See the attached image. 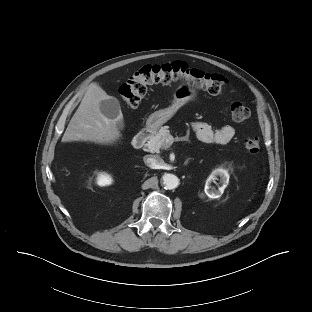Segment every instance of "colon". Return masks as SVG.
Instances as JSON below:
<instances>
[{"label": "colon", "instance_id": "5ec220e1", "mask_svg": "<svg viewBox=\"0 0 312 312\" xmlns=\"http://www.w3.org/2000/svg\"><path fill=\"white\" fill-rule=\"evenodd\" d=\"M178 81L189 82L212 95L220 94L226 84L225 77L220 74L207 73L192 68L184 62L175 61L141 67L120 86L119 94L128 108L135 109L141 103L150 85L171 84ZM230 114L233 121L243 122L249 118L250 111L245 104L235 102L231 105ZM243 144L247 152L251 154L259 152L260 142L257 137H247Z\"/></svg>", "mask_w": 312, "mask_h": 312}]
</instances>
